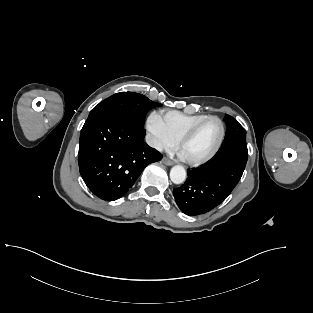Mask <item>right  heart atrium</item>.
<instances>
[{
    "label": "right heart atrium",
    "mask_w": 313,
    "mask_h": 313,
    "mask_svg": "<svg viewBox=\"0 0 313 313\" xmlns=\"http://www.w3.org/2000/svg\"><path fill=\"white\" fill-rule=\"evenodd\" d=\"M147 131L150 145L158 151L170 150L176 144L163 128L156 113L151 114L148 118Z\"/></svg>",
    "instance_id": "obj_1"
}]
</instances>
